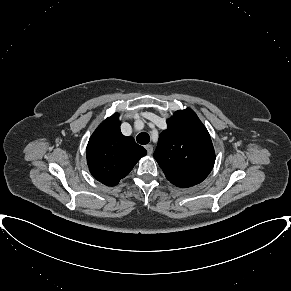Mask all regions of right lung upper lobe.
Instances as JSON below:
<instances>
[{"label": "right lung upper lobe", "mask_w": 291, "mask_h": 291, "mask_svg": "<svg viewBox=\"0 0 291 291\" xmlns=\"http://www.w3.org/2000/svg\"><path fill=\"white\" fill-rule=\"evenodd\" d=\"M119 114L104 120L89 139L86 157L93 177L107 186H115L147 154L130 136L120 131Z\"/></svg>", "instance_id": "obj_1"}]
</instances>
